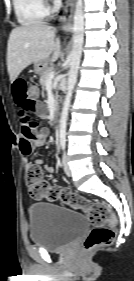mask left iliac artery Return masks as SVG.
<instances>
[{
  "label": "left iliac artery",
  "mask_w": 134,
  "mask_h": 281,
  "mask_svg": "<svg viewBox=\"0 0 134 281\" xmlns=\"http://www.w3.org/2000/svg\"><path fill=\"white\" fill-rule=\"evenodd\" d=\"M60 145L61 148L64 150L66 145V139L64 137L60 139Z\"/></svg>",
  "instance_id": "44dca946"
}]
</instances>
